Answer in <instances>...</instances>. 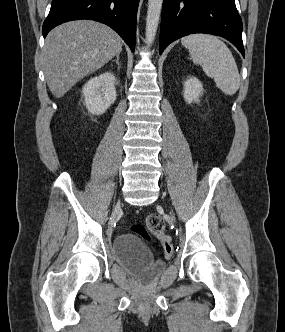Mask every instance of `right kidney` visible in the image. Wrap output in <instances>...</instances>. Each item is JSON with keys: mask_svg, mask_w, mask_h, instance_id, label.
<instances>
[{"mask_svg": "<svg viewBox=\"0 0 285 332\" xmlns=\"http://www.w3.org/2000/svg\"><path fill=\"white\" fill-rule=\"evenodd\" d=\"M115 76L111 72H105L91 78L83 87L82 94L88 111L95 115H101L115 102Z\"/></svg>", "mask_w": 285, "mask_h": 332, "instance_id": "obj_1", "label": "right kidney"}]
</instances>
